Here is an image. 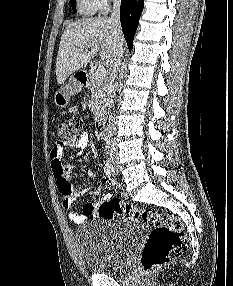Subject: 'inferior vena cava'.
Wrapping results in <instances>:
<instances>
[{
	"label": "inferior vena cava",
	"mask_w": 233,
	"mask_h": 286,
	"mask_svg": "<svg viewBox=\"0 0 233 286\" xmlns=\"http://www.w3.org/2000/svg\"><path fill=\"white\" fill-rule=\"evenodd\" d=\"M110 20L114 22L118 27H120V0H113V11L111 14ZM123 58V45L118 44L117 50H116V56L114 58V61L112 62V65L110 67V81H109V98H108V104L109 107H113V92L115 88V79L117 76V70L119 66L121 65ZM112 115H109V122L107 125V132L109 133L108 136V145L113 147V149H116L115 141L112 140L111 136L114 133L115 125L112 121Z\"/></svg>",
	"instance_id": "602c4592"
}]
</instances>
